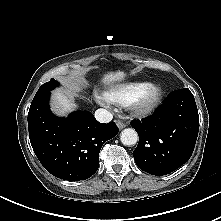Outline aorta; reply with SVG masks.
<instances>
[{
	"label": "aorta",
	"mask_w": 221,
	"mask_h": 221,
	"mask_svg": "<svg viewBox=\"0 0 221 221\" xmlns=\"http://www.w3.org/2000/svg\"><path fill=\"white\" fill-rule=\"evenodd\" d=\"M120 140L126 146L135 145L138 141V134L133 128H126L121 132Z\"/></svg>",
	"instance_id": "1"
}]
</instances>
